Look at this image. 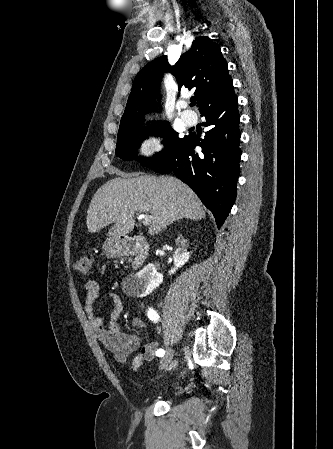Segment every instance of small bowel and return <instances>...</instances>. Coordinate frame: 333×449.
I'll return each mask as SVG.
<instances>
[{"label":"small bowel","instance_id":"1","mask_svg":"<svg viewBox=\"0 0 333 449\" xmlns=\"http://www.w3.org/2000/svg\"><path fill=\"white\" fill-rule=\"evenodd\" d=\"M84 311L89 326L95 337L109 351L112 359L117 364H124L130 354L140 348V338L136 334L123 333L118 323V318L123 310V302L119 295L109 292L108 296L112 300V309L109 314V321L105 323L103 317L94 311V304L100 292L99 284L90 280L85 284ZM134 326L139 329L144 328V322L140 318L134 319ZM157 349L156 342H149L143 345L138 354L131 361V369L136 371L146 361L151 359Z\"/></svg>","mask_w":333,"mask_h":449}]
</instances>
